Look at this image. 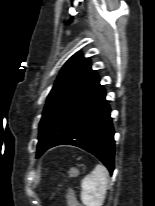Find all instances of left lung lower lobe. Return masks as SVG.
Listing matches in <instances>:
<instances>
[{
	"instance_id": "0a47b994",
	"label": "left lung lower lobe",
	"mask_w": 155,
	"mask_h": 206,
	"mask_svg": "<svg viewBox=\"0 0 155 206\" xmlns=\"http://www.w3.org/2000/svg\"><path fill=\"white\" fill-rule=\"evenodd\" d=\"M105 96L106 93L93 103L69 131L49 148L58 145H73L82 148L99 158L112 174L115 152L114 129L110 107Z\"/></svg>"
}]
</instances>
